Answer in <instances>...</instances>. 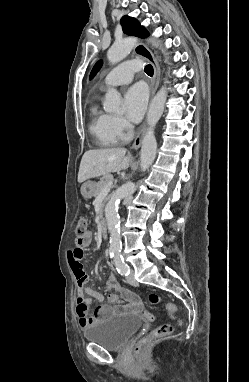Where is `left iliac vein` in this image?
Returning a JSON list of instances; mask_svg holds the SVG:
<instances>
[{"label":"left iliac vein","instance_id":"left-iliac-vein-1","mask_svg":"<svg viewBox=\"0 0 249 382\" xmlns=\"http://www.w3.org/2000/svg\"><path fill=\"white\" fill-rule=\"evenodd\" d=\"M126 280L131 285H135L136 284V279L134 278L132 271H131V273L129 275L126 276Z\"/></svg>","mask_w":249,"mask_h":382}]
</instances>
